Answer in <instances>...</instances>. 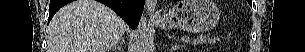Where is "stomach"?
<instances>
[{"mask_svg":"<svg viewBox=\"0 0 305 52\" xmlns=\"http://www.w3.org/2000/svg\"><path fill=\"white\" fill-rule=\"evenodd\" d=\"M219 9L212 0H180L156 25L161 29L203 32L216 26Z\"/></svg>","mask_w":305,"mask_h":52,"instance_id":"obj_1","label":"stomach"}]
</instances>
